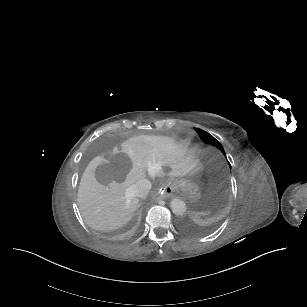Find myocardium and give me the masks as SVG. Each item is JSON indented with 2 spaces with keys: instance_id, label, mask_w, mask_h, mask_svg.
<instances>
[{
  "instance_id": "myocardium-1",
  "label": "myocardium",
  "mask_w": 307,
  "mask_h": 307,
  "mask_svg": "<svg viewBox=\"0 0 307 307\" xmlns=\"http://www.w3.org/2000/svg\"><path fill=\"white\" fill-rule=\"evenodd\" d=\"M199 151H200V148H199L198 146H194V147L192 148V152H193L194 154H198Z\"/></svg>"
}]
</instances>
